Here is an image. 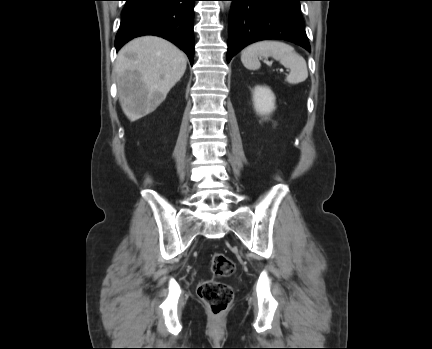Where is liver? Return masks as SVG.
<instances>
[{
    "label": "liver",
    "mask_w": 432,
    "mask_h": 349,
    "mask_svg": "<svg viewBox=\"0 0 432 349\" xmlns=\"http://www.w3.org/2000/svg\"><path fill=\"white\" fill-rule=\"evenodd\" d=\"M185 54L155 36L133 39L119 51L115 64L119 101L131 121L152 113L184 75Z\"/></svg>",
    "instance_id": "obj_1"
}]
</instances>
